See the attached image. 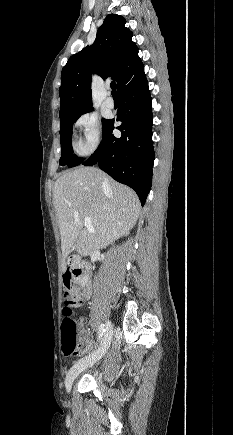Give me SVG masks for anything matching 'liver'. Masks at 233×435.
<instances>
[{
  "label": "liver",
  "instance_id": "liver-1",
  "mask_svg": "<svg viewBox=\"0 0 233 435\" xmlns=\"http://www.w3.org/2000/svg\"><path fill=\"white\" fill-rule=\"evenodd\" d=\"M53 202L61 235L63 272L66 256L75 244L79 254L89 256L126 235L140 214L136 193L95 167L81 166L62 174L53 187ZM86 217L94 232L83 228Z\"/></svg>",
  "mask_w": 233,
  "mask_h": 435
}]
</instances>
